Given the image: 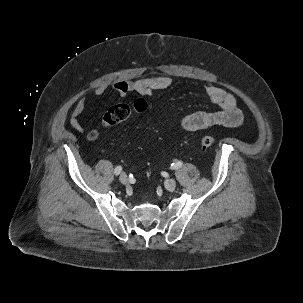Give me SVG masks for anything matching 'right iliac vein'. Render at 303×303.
<instances>
[{
    "instance_id": "1",
    "label": "right iliac vein",
    "mask_w": 303,
    "mask_h": 303,
    "mask_svg": "<svg viewBox=\"0 0 303 303\" xmlns=\"http://www.w3.org/2000/svg\"><path fill=\"white\" fill-rule=\"evenodd\" d=\"M119 180L122 184H127L128 182V177L125 173H122L119 177Z\"/></svg>"
}]
</instances>
